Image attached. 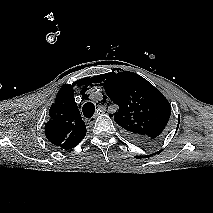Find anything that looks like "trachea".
<instances>
[{
  "label": "trachea",
  "mask_w": 213,
  "mask_h": 213,
  "mask_svg": "<svg viewBox=\"0 0 213 213\" xmlns=\"http://www.w3.org/2000/svg\"><path fill=\"white\" fill-rule=\"evenodd\" d=\"M82 111L86 118H91L95 112V105L91 102L85 103L82 107Z\"/></svg>",
  "instance_id": "3493384b"
}]
</instances>
